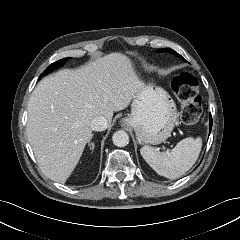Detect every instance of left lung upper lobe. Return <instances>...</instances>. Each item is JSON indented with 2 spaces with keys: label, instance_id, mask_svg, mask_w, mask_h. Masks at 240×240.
Instances as JSON below:
<instances>
[{
  "label": "left lung upper lobe",
  "instance_id": "left-lung-upper-lobe-1",
  "mask_svg": "<svg viewBox=\"0 0 240 240\" xmlns=\"http://www.w3.org/2000/svg\"><path fill=\"white\" fill-rule=\"evenodd\" d=\"M159 52H168V53H171V54L179 55V54L176 53L174 50L169 49V48H167V49H162V50H160ZM179 56H180V55H179ZM180 57H182V56H180Z\"/></svg>",
  "mask_w": 240,
  "mask_h": 240
}]
</instances>
